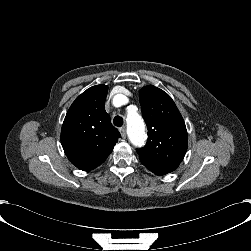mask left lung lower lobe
<instances>
[{
    "mask_svg": "<svg viewBox=\"0 0 251 251\" xmlns=\"http://www.w3.org/2000/svg\"><path fill=\"white\" fill-rule=\"evenodd\" d=\"M145 167L147 169H149L151 172H153L154 174L159 175V176L167 174V172H165V171H158L157 169H154L151 167H147V166H145Z\"/></svg>",
    "mask_w": 251,
    "mask_h": 251,
    "instance_id": "obj_1",
    "label": "left lung lower lobe"
}]
</instances>
